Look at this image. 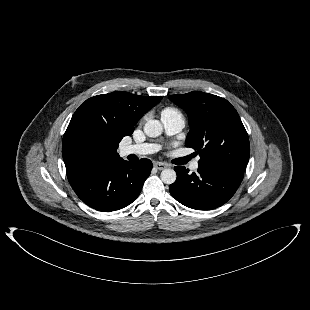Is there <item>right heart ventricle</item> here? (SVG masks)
<instances>
[{"label":"right heart ventricle","instance_id":"e07e8e85","mask_svg":"<svg viewBox=\"0 0 310 310\" xmlns=\"http://www.w3.org/2000/svg\"><path fill=\"white\" fill-rule=\"evenodd\" d=\"M165 114H180L176 109L168 107L162 110L161 115Z\"/></svg>","mask_w":310,"mask_h":310}]
</instances>
